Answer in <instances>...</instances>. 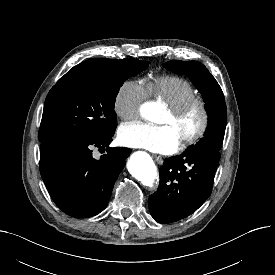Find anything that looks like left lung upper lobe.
I'll use <instances>...</instances> for the list:
<instances>
[{"instance_id": "1", "label": "left lung upper lobe", "mask_w": 275, "mask_h": 275, "mask_svg": "<svg viewBox=\"0 0 275 275\" xmlns=\"http://www.w3.org/2000/svg\"><path fill=\"white\" fill-rule=\"evenodd\" d=\"M164 67L176 74H188L189 79L200 91L206 103L209 124L204 138L187 150L212 148L220 151L227 119L226 104L221 87L206 67L198 61L172 60L166 62Z\"/></svg>"}]
</instances>
